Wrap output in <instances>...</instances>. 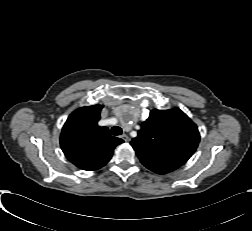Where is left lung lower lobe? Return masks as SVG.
I'll list each match as a JSON object with an SVG mask.
<instances>
[{
    "mask_svg": "<svg viewBox=\"0 0 252 231\" xmlns=\"http://www.w3.org/2000/svg\"><path fill=\"white\" fill-rule=\"evenodd\" d=\"M144 166L158 174H166L180 167L172 164H147Z\"/></svg>",
    "mask_w": 252,
    "mask_h": 231,
    "instance_id": "left-lung-lower-lobe-1",
    "label": "left lung lower lobe"
}]
</instances>
